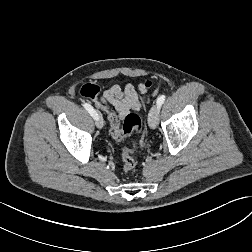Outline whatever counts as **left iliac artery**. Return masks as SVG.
Returning <instances> with one entry per match:
<instances>
[{
    "label": "left iliac artery",
    "instance_id": "44dca946",
    "mask_svg": "<svg viewBox=\"0 0 252 252\" xmlns=\"http://www.w3.org/2000/svg\"><path fill=\"white\" fill-rule=\"evenodd\" d=\"M165 98H166V96L165 95H161V96H159L158 97V99H157V105H158V107L160 108L161 107V105L164 103V101H165Z\"/></svg>",
    "mask_w": 252,
    "mask_h": 252
}]
</instances>
